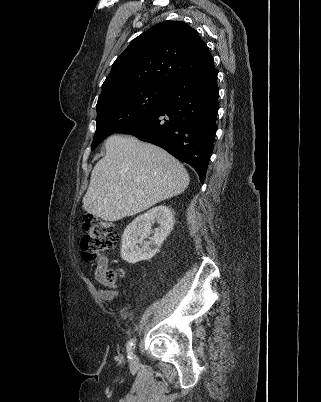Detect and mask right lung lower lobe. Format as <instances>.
Here are the masks:
<instances>
[{"instance_id":"98d812e1","label":"right lung lower lobe","mask_w":321,"mask_h":402,"mask_svg":"<svg viewBox=\"0 0 321 402\" xmlns=\"http://www.w3.org/2000/svg\"><path fill=\"white\" fill-rule=\"evenodd\" d=\"M165 100L151 113L119 129L162 147L191 165L204 182L219 109L214 63L167 86Z\"/></svg>"}]
</instances>
